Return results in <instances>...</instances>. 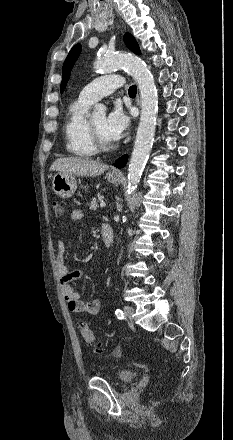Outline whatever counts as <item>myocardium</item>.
Instances as JSON below:
<instances>
[{"label":"myocardium","instance_id":"obj_1","mask_svg":"<svg viewBox=\"0 0 233 440\" xmlns=\"http://www.w3.org/2000/svg\"><path fill=\"white\" fill-rule=\"evenodd\" d=\"M87 128L92 140V143L97 151H110L115 148L116 144L114 141L105 140L95 129L91 120L87 121Z\"/></svg>","mask_w":233,"mask_h":440}]
</instances>
